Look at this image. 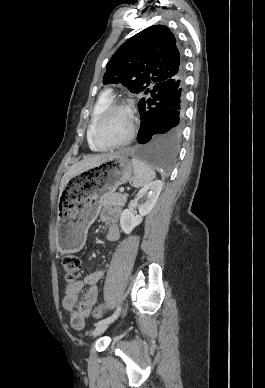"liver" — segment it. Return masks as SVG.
Masks as SVG:
<instances>
[{
  "label": "liver",
  "mask_w": 265,
  "mask_h": 388,
  "mask_svg": "<svg viewBox=\"0 0 265 388\" xmlns=\"http://www.w3.org/2000/svg\"><path fill=\"white\" fill-rule=\"evenodd\" d=\"M106 156H114V154H105V156H93V158H86V160H81V162H78V164L71 166L68 172L64 174L60 182V190L64 188L65 184H67L71 178H74V176H77V174H81V172H85V170H88V168H92V166L98 164V162H100L102 158H106Z\"/></svg>",
  "instance_id": "6515ba94"
}]
</instances>
